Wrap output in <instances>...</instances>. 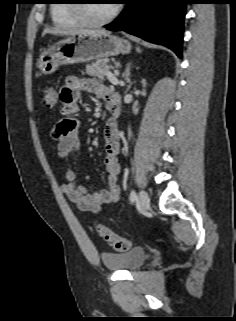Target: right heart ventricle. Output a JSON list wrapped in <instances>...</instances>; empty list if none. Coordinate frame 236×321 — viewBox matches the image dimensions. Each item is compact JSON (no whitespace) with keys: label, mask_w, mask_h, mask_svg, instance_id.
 <instances>
[{"label":"right heart ventricle","mask_w":236,"mask_h":321,"mask_svg":"<svg viewBox=\"0 0 236 321\" xmlns=\"http://www.w3.org/2000/svg\"><path fill=\"white\" fill-rule=\"evenodd\" d=\"M51 7V18L53 23L61 28L78 26L81 21L73 14L71 2L73 0H58Z\"/></svg>","instance_id":"obj_1"}]
</instances>
